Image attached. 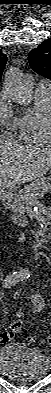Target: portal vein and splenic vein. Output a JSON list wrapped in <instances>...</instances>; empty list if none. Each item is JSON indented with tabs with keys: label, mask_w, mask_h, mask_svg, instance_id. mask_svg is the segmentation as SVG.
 Listing matches in <instances>:
<instances>
[{
	"label": "portal vein and splenic vein",
	"mask_w": 51,
	"mask_h": 393,
	"mask_svg": "<svg viewBox=\"0 0 51 393\" xmlns=\"http://www.w3.org/2000/svg\"><path fill=\"white\" fill-rule=\"evenodd\" d=\"M38 196V194L37 195H35V196H32L31 198H30V200H33V198H36ZM29 200V201H30Z\"/></svg>",
	"instance_id": "1"
}]
</instances>
